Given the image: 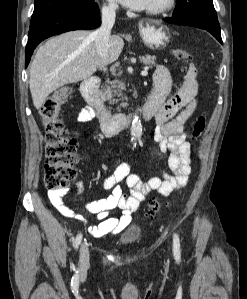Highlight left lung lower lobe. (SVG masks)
Instances as JSON below:
<instances>
[{"instance_id": "left-lung-lower-lobe-1", "label": "left lung lower lobe", "mask_w": 247, "mask_h": 299, "mask_svg": "<svg viewBox=\"0 0 247 299\" xmlns=\"http://www.w3.org/2000/svg\"><path fill=\"white\" fill-rule=\"evenodd\" d=\"M163 20L171 24L193 26L206 30L210 32L221 44H223L220 33V24L215 16L198 10H193L177 16L167 17Z\"/></svg>"}]
</instances>
